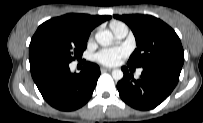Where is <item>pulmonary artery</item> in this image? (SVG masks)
Instances as JSON below:
<instances>
[{"label": "pulmonary artery", "instance_id": "obj_1", "mask_svg": "<svg viewBox=\"0 0 203 123\" xmlns=\"http://www.w3.org/2000/svg\"><path fill=\"white\" fill-rule=\"evenodd\" d=\"M111 29L117 39H123L128 34V27L121 22L111 26ZM138 74H141V69L138 70Z\"/></svg>", "mask_w": 203, "mask_h": 123}]
</instances>
